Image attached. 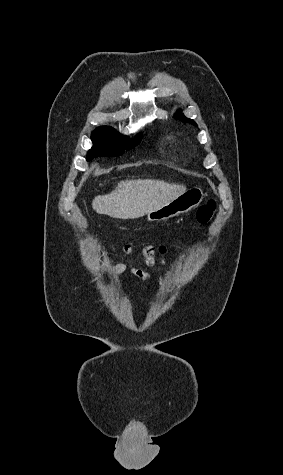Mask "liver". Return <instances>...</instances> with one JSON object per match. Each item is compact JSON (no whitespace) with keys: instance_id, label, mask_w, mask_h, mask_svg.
Returning a JSON list of instances; mask_svg holds the SVG:
<instances>
[{"instance_id":"1","label":"liver","mask_w":283,"mask_h":475,"mask_svg":"<svg viewBox=\"0 0 283 475\" xmlns=\"http://www.w3.org/2000/svg\"><path fill=\"white\" fill-rule=\"evenodd\" d=\"M185 192L186 186L168 184L163 180H125L119 182L111 194L96 196L92 208L97 214H106L110 218L133 220L159 210Z\"/></svg>"}]
</instances>
